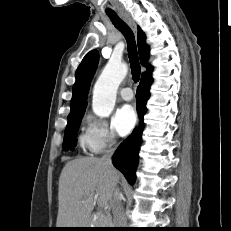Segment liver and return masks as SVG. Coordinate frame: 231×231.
Segmentation results:
<instances>
[{
	"label": "liver",
	"instance_id": "obj_1",
	"mask_svg": "<svg viewBox=\"0 0 231 231\" xmlns=\"http://www.w3.org/2000/svg\"><path fill=\"white\" fill-rule=\"evenodd\" d=\"M120 174L101 158L81 157L67 162L59 178L57 228H88L92 225L95 192L102 206L112 203Z\"/></svg>",
	"mask_w": 231,
	"mask_h": 231
}]
</instances>
